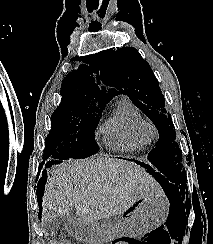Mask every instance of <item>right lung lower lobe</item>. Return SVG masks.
Wrapping results in <instances>:
<instances>
[{
    "label": "right lung lower lobe",
    "instance_id": "obj_1",
    "mask_svg": "<svg viewBox=\"0 0 213 244\" xmlns=\"http://www.w3.org/2000/svg\"><path fill=\"white\" fill-rule=\"evenodd\" d=\"M56 162H58V161H55V162L52 161L51 163L48 162L46 166L49 167L52 163H56ZM44 184H45L44 182L41 183V184H40V183L38 184V187H37V197H38V200H40L41 197H42V192H43V187H42V186H43Z\"/></svg>",
    "mask_w": 213,
    "mask_h": 244
}]
</instances>
